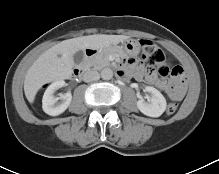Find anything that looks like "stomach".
Here are the masks:
<instances>
[{
	"label": "stomach",
	"mask_w": 219,
	"mask_h": 174,
	"mask_svg": "<svg viewBox=\"0 0 219 174\" xmlns=\"http://www.w3.org/2000/svg\"><path fill=\"white\" fill-rule=\"evenodd\" d=\"M109 50L124 52L129 56H136L140 52V44L136 40L127 39L122 41L119 45L118 43L112 44L109 47L103 49V51H109Z\"/></svg>",
	"instance_id": "1"
}]
</instances>
